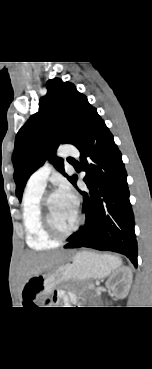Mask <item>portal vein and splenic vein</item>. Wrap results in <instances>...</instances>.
Masks as SVG:
<instances>
[{
    "label": "portal vein and splenic vein",
    "mask_w": 152,
    "mask_h": 369,
    "mask_svg": "<svg viewBox=\"0 0 152 369\" xmlns=\"http://www.w3.org/2000/svg\"><path fill=\"white\" fill-rule=\"evenodd\" d=\"M92 288L94 289V288H95V286L93 285V286H92Z\"/></svg>",
    "instance_id": "18ae733b"
}]
</instances>
